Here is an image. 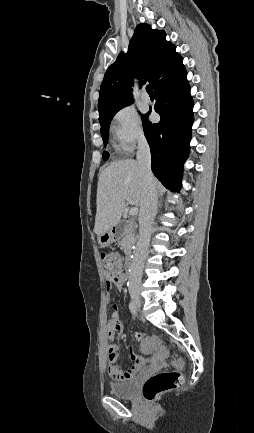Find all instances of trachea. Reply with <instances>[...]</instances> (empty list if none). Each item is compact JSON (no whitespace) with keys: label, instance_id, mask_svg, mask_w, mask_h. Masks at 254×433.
Returning <instances> with one entry per match:
<instances>
[{"label":"trachea","instance_id":"trachea-1","mask_svg":"<svg viewBox=\"0 0 254 433\" xmlns=\"http://www.w3.org/2000/svg\"><path fill=\"white\" fill-rule=\"evenodd\" d=\"M146 91L149 95H153V89L151 85H147L146 86Z\"/></svg>","mask_w":254,"mask_h":433}]
</instances>
